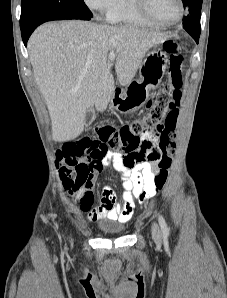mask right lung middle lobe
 Returning a JSON list of instances; mask_svg holds the SVG:
<instances>
[{"instance_id": "obj_1", "label": "right lung middle lobe", "mask_w": 227, "mask_h": 298, "mask_svg": "<svg viewBox=\"0 0 227 298\" xmlns=\"http://www.w3.org/2000/svg\"><path fill=\"white\" fill-rule=\"evenodd\" d=\"M89 20L93 17L83 0H22L20 28L46 17Z\"/></svg>"}]
</instances>
